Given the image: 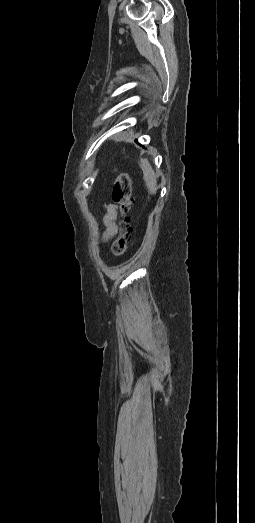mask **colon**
I'll return each instance as SVG.
<instances>
[{
  "mask_svg": "<svg viewBox=\"0 0 255 523\" xmlns=\"http://www.w3.org/2000/svg\"><path fill=\"white\" fill-rule=\"evenodd\" d=\"M112 201L118 206L119 233L112 244V252L115 255H122L126 252L132 242L133 230L128 217V212L132 205V181L127 173H118L114 182Z\"/></svg>",
  "mask_w": 255,
  "mask_h": 523,
  "instance_id": "1",
  "label": "colon"
}]
</instances>
